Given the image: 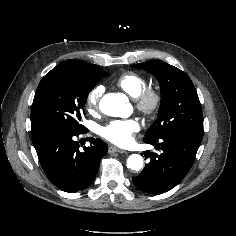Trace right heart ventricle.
Returning <instances> with one entry per match:
<instances>
[{
    "label": "right heart ventricle",
    "mask_w": 236,
    "mask_h": 236,
    "mask_svg": "<svg viewBox=\"0 0 236 236\" xmlns=\"http://www.w3.org/2000/svg\"><path fill=\"white\" fill-rule=\"evenodd\" d=\"M116 85L135 99L147 88L148 82L139 73L126 72L117 79Z\"/></svg>",
    "instance_id": "obj_1"
}]
</instances>
